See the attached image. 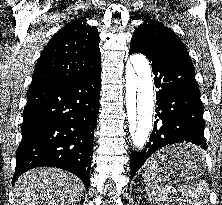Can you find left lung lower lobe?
<instances>
[{
  "instance_id": "1",
  "label": "left lung lower lobe",
  "mask_w": 222,
  "mask_h": 205,
  "mask_svg": "<svg viewBox=\"0 0 222 205\" xmlns=\"http://www.w3.org/2000/svg\"><path fill=\"white\" fill-rule=\"evenodd\" d=\"M130 54L142 53L150 62L155 75L156 113L153 133L146 149L132 152L130 156L131 177L156 150L174 143L190 142L206 149L204 138L203 106L193 63L182 49L151 47L132 40ZM203 159L199 150H186L170 159L171 164L195 165Z\"/></svg>"
}]
</instances>
